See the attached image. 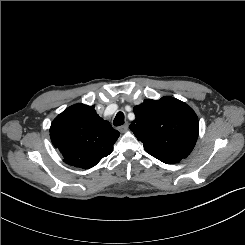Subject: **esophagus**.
I'll return each instance as SVG.
<instances>
[{
  "label": "esophagus",
  "mask_w": 245,
  "mask_h": 245,
  "mask_svg": "<svg viewBox=\"0 0 245 245\" xmlns=\"http://www.w3.org/2000/svg\"><path fill=\"white\" fill-rule=\"evenodd\" d=\"M127 129H128V123H125L124 125L118 128L120 132H125Z\"/></svg>",
  "instance_id": "34e87169"
}]
</instances>
